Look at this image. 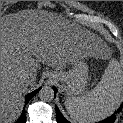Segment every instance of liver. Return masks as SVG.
<instances>
[{
	"label": "liver",
	"instance_id": "1",
	"mask_svg": "<svg viewBox=\"0 0 123 123\" xmlns=\"http://www.w3.org/2000/svg\"><path fill=\"white\" fill-rule=\"evenodd\" d=\"M101 54V40L90 31L38 10L1 19V123H11L20 111L22 94L34 86L40 63L63 69L68 63ZM29 80L21 79L24 72Z\"/></svg>",
	"mask_w": 123,
	"mask_h": 123
}]
</instances>
